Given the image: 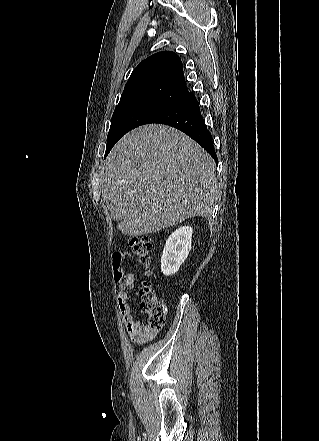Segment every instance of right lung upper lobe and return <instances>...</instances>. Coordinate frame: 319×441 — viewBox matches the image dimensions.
Listing matches in <instances>:
<instances>
[{"instance_id": "1", "label": "right lung upper lobe", "mask_w": 319, "mask_h": 441, "mask_svg": "<svg viewBox=\"0 0 319 441\" xmlns=\"http://www.w3.org/2000/svg\"><path fill=\"white\" fill-rule=\"evenodd\" d=\"M187 93L179 56L172 51H162L143 60L133 70L119 104L138 98H157L174 104Z\"/></svg>"}]
</instances>
